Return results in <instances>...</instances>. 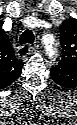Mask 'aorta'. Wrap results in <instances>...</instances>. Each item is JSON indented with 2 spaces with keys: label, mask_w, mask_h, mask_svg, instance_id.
<instances>
[{
  "label": "aorta",
  "mask_w": 77,
  "mask_h": 125,
  "mask_svg": "<svg viewBox=\"0 0 77 125\" xmlns=\"http://www.w3.org/2000/svg\"><path fill=\"white\" fill-rule=\"evenodd\" d=\"M53 45H54V41L52 40V41H49L47 44H46V50H47V54L49 55V56H51V58H55L54 57V55H56L55 54V49H53L54 47H53Z\"/></svg>",
  "instance_id": "1"
}]
</instances>
